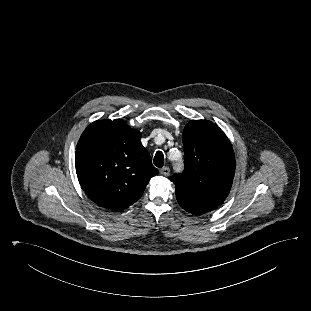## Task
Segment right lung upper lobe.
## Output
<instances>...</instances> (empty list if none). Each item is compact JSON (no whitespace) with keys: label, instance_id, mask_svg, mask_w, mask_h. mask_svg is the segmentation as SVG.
Returning <instances> with one entry per match:
<instances>
[{"label":"right lung upper lobe","instance_id":"right-lung-upper-lobe-1","mask_svg":"<svg viewBox=\"0 0 311 311\" xmlns=\"http://www.w3.org/2000/svg\"><path fill=\"white\" fill-rule=\"evenodd\" d=\"M140 138L141 133L121 119L97 120L82 133L76 173L86 195L99 206L123 211L158 174Z\"/></svg>","mask_w":311,"mask_h":311}]
</instances>
